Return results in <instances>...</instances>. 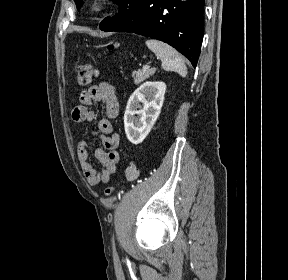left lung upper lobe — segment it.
<instances>
[{
  "mask_svg": "<svg viewBox=\"0 0 288 280\" xmlns=\"http://www.w3.org/2000/svg\"><path fill=\"white\" fill-rule=\"evenodd\" d=\"M77 8L80 9V7L82 6L83 2L82 0H74ZM116 4L120 5V11H123L124 9H126L128 7V5L131 3L132 0H113Z\"/></svg>",
  "mask_w": 288,
  "mask_h": 280,
  "instance_id": "obj_1",
  "label": "left lung upper lobe"
}]
</instances>
